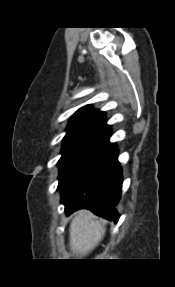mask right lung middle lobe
<instances>
[{"instance_id":"right-lung-middle-lobe-1","label":"right lung middle lobe","mask_w":175,"mask_h":287,"mask_svg":"<svg viewBox=\"0 0 175 287\" xmlns=\"http://www.w3.org/2000/svg\"><path fill=\"white\" fill-rule=\"evenodd\" d=\"M112 129L105 126L67 130L62 143V157L58 161L59 184L85 157L110 137Z\"/></svg>"}]
</instances>
